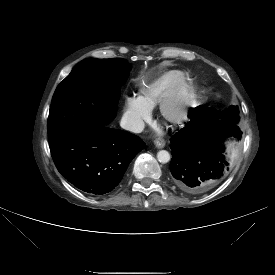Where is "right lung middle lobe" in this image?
<instances>
[{"label": "right lung middle lobe", "instance_id": "1", "mask_svg": "<svg viewBox=\"0 0 275 275\" xmlns=\"http://www.w3.org/2000/svg\"><path fill=\"white\" fill-rule=\"evenodd\" d=\"M129 67L124 59L88 58L78 63L53 95L48 135L77 126L111 122L120 97L113 88L129 75Z\"/></svg>", "mask_w": 275, "mask_h": 275}]
</instances>
